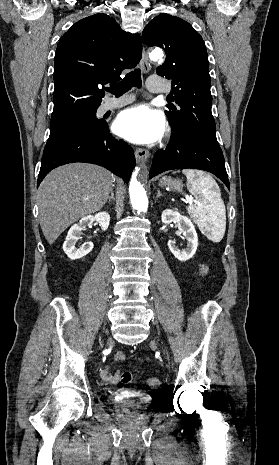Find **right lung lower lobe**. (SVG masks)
<instances>
[{
	"mask_svg": "<svg viewBox=\"0 0 279 465\" xmlns=\"http://www.w3.org/2000/svg\"><path fill=\"white\" fill-rule=\"evenodd\" d=\"M72 162L103 166L126 183L136 164L133 149L123 140L114 138L106 123L98 129L75 135L43 154L37 185L52 169Z\"/></svg>",
	"mask_w": 279,
	"mask_h": 465,
	"instance_id": "right-lung-lower-lobe-1",
	"label": "right lung lower lobe"
}]
</instances>
